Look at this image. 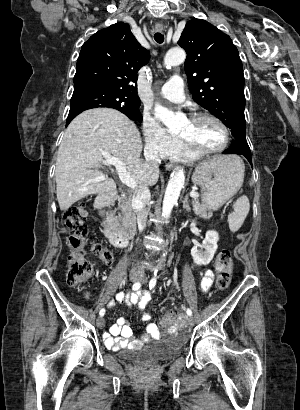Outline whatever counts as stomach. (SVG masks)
Instances as JSON below:
<instances>
[{
  "label": "stomach",
  "mask_w": 300,
  "mask_h": 410,
  "mask_svg": "<svg viewBox=\"0 0 300 410\" xmlns=\"http://www.w3.org/2000/svg\"><path fill=\"white\" fill-rule=\"evenodd\" d=\"M215 156L195 169L192 180L202 188L205 206L216 210L242 186L244 165L237 156Z\"/></svg>",
  "instance_id": "1"
}]
</instances>
